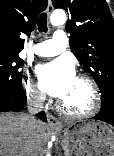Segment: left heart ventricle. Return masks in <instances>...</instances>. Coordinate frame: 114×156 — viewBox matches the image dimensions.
<instances>
[{
  "label": "left heart ventricle",
  "mask_w": 114,
  "mask_h": 156,
  "mask_svg": "<svg viewBox=\"0 0 114 156\" xmlns=\"http://www.w3.org/2000/svg\"><path fill=\"white\" fill-rule=\"evenodd\" d=\"M61 102L71 112L87 111L92 105V92L89 85L76 78Z\"/></svg>",
  "instance_id": "obj_1"
}]
</instances>
